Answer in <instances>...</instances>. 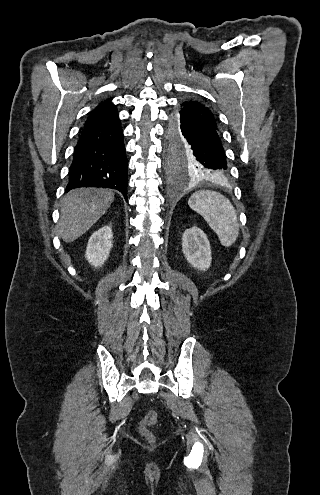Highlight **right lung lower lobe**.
Instances as JSON below:
<instances>
[{
	"label": "right lung lower lobe",
	"mask_w": 320,
	"mask_h": 495,
	"mask_svg": "<svg viewBox=\"0 0 320 495\" xmlns=\"http://www.w3.org/2000/svg\"><path fill=\"white\" fill-rule=\"evenodd\" d=\"M128 161L120 119L85 127L73 153L66 192L78 187H106L127 200Z\"/></svg>",
	"instance_id": "right-lung-lower-lobe-1"
}]
</instances>
